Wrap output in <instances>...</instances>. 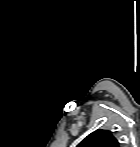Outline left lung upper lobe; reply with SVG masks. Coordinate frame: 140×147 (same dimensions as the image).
I'll return each mask as SVG.
<instances>
[{
  "instance_id": "5c2ea615",
  "label": "left lung upper lobe",
  "mask_w": 140,
  "mask_h": 147,
  "mask_svg": "<svg viewBox=\"0 0 140 147\" xmlns=\"http://www.w3.org/2000/svg\"><path fill=\"white\" fill-rule=\"evenodd\" d=\"M77 147H119V142L108 130H97L89 134Z\"/></svg>"
}]
</instances>
